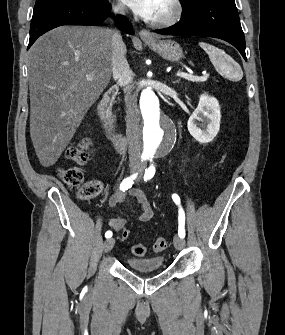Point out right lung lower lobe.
Returning <instances> with one entry per match:
<instances>
[{"label":"right lung lower lobe","mask_w":285,"mask_h":335,"mask_svg":"<svg viewBox=\"0 0 285 335\" xmlns=\"http://www.w3.org/2000/svg\"><path fill=\"white\" fill-rule=\"evenodd\" d=\"M110 12L107 0L100 3H85L74 0H52L35 6L30 26L28 48L45 32L67 24L99 25ZM119 28L131 35L134 30L124 16H117Z\"/></svg>","instance_id":"obj_1"}]
</instances>
